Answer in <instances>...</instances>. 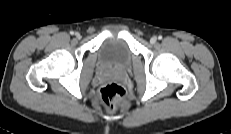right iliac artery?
Wrapping results in <instances>:
<instances>
[{"label":"right iliac artery","instance_id":"obj_1","mask_svg":"<svg viewBox=\"0 0 231 134\" xmlns=\"http://www.w3.org/2000/svg\"><path fill=\"white\" fill-rule=\"evenodd\" d=\"M70 34H71V35H74V32H73V31H71V32H70Z\"/></svg>","mask_w":231,"mask_h":134}]
</instances>
